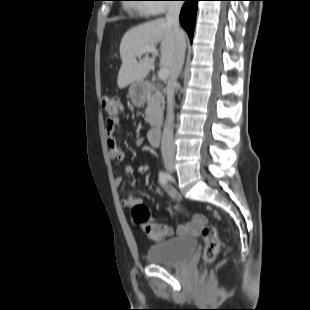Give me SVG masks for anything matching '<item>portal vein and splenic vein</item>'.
<instances>
[{
	"mask_svg": "<svg viewBox=\"0 0 310 310\" xmlns=\"http://www.w3.org/2000/svg\"><path fill=\"white\" fill-rule=\"evenodd\" d=\"M147 53H151L154 56L158 55V51L155 47H146L144 49H142L137 56L141 57L143 54H147ZM169 76V69L166 67H162L159 72H158V77L160 80H165L167 79Z\"/></svg>",
	"mask_w": 310,
	"mask_h": 310,
	"instance_id": "obj_1",
	"label": "portal vein and splenic vein"
}]
</instances>
